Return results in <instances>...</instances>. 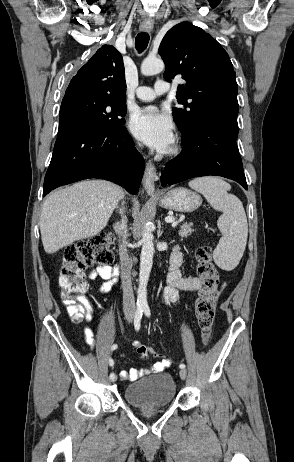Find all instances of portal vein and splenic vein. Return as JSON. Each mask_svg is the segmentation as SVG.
Listing matches in <instances>:
<instances>
[{
	"instance_id": "1",
	"label": "portal vein and splenic vein",
	"mask_w": 294,
	"mask_h": 462,
	"mask_svg": "<svg viewBox=\"0 0 294 462\" xmlns=\"http://www.w3.org/2000/svg\"><path fill=\"white\" fill-rule=\"evenodd\" d=\"M165 221H166L167 223H172L173 225H176V224L178 223V221H176L175 218L172 217V216L166 217V218H165Z\"/></svg>"
}]
</instances>
